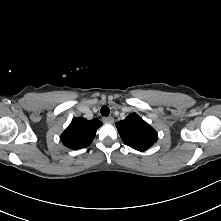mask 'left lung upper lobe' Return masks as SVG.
Here are the masks:
<instances>
[{"label":"left lung upper lobe","instance_id":"1","mask_svg":"<svg viewBox=\"0 0 221 221\" xmlns=\"http://www.w3.org/2000/svg\"><path fill=\"white\" fill-rule=\"evenodd\" d=\"M124 143L138 151L149 149L157 141V132L136 113L116 123Z\"/></svg>","mask_w":221,"mask_h":221}]
</instances>
